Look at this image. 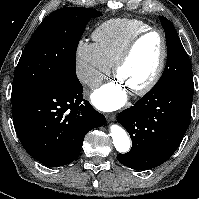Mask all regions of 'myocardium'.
<instances>
[{
    "instance_id": "1",
    "label": "myocardium",
    "mask_w": 199,
    "mask_h": 199,
    "mask_svg": "<svg viewBox=\"0 0 199 199\" xmlns=\"http://www.w3.org/2000/svg\"><path fill=\"white\" fill-rule=\"evenodd\" d=\"M150 34H157L160 37L161 46H162L160 59H159L158 65H157L153 75L151 76V78L145 84H143L142 86L130 90V93L134 96H144V95H146L159 82V80H160V78L163 74V71L165 69L166 60H167V56H168V43H167L165 35L163 34V32L161 30L154 28V27H150L149 29L142 31L141 33L134 36L127 43V45L119 53V55L117 56V58L115 59V61L113 63V74L116 78H118V73H119L120 68L127 61V59L130 57V55L134 51L137 44L144 37H146Z\"/></svg>"
}]
</instances>
